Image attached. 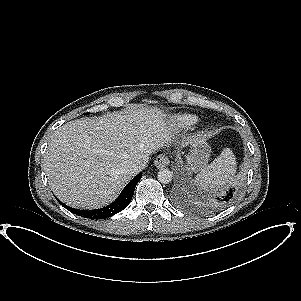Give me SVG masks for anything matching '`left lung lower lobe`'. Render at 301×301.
<instances>
[{"label":"left lung lower lobe","instance_id":"1","mask_svg":"<svg viewBox=\"0 0 301 301\" xmlns=\"http://www.w3.org/2000/svg\"><path fill=\"white\" fill-rule=\"evenodd\" d=\"M234 192H235L234 190L230 189L223 196L216 198V200H214V202H213V205L214 206H224L225 204H227L228 202H230L233 199V197L235 196Z\"/></svg>","mask_w":301,"mask_h":301}]
</instances>
